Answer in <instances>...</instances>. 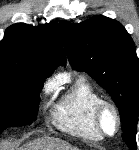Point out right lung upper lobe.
I'll list each match as a JSON object with an SVG mask.
<instances>
[{"label":"right lung upper lobe","instance_id":"cb5924a9","mask_svg":"<svg viewBox=\"0 0 139 150\" xmlns=\"http://www.w3.org/2000/svg\"><path fill=\"white\" fill-rule=\"evenodd\" d=\"M66 62L55 22L11 25L0 41V69L32 73L44 81Z\"/></svg>","mask_w":139,"mask_h":150}]
</instances>
